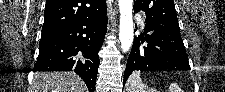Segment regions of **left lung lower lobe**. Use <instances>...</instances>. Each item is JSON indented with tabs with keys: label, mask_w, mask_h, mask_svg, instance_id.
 <instances>
[{
	"label": "left lung lower lobe",
	"mask_w": 225,
	"mask_h": 92,
	"mask_svg": "<svg viewBox=\"0 0 225 92\" xmlns=\"http://www.w3.org/2000/svg\"><path fill=\"white\" fill-rule=\"evenodd\" d=\"M145 37H134L124 71L123 84L134 70H189L188 56L180 32L172 27L145 22ZM144 42L148 44L142 45Z\"/></svg>",
	"instance_id": "0a47b994"
}]
</instances>
